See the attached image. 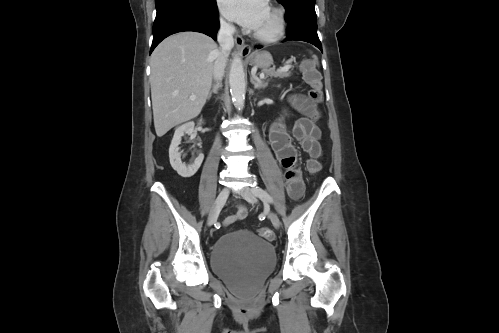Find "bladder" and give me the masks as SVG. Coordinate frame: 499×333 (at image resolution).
I'll use <instances>...</instances> for the list:
<instances>
[{"mask_svg": "<svg viewBox=\"0 0 499 333\" xmlns=\"http://www.w3.org/2000/svg\"><path fill=\"white\" fill-rule=\"evenodd\" d=\"M214 273L234 287L261 282L275 267V249L248 230L223 234L211 250Z\"/></svg>", "mask_w": 499, "mask_h": 333, "instance_id": "bladder-1", "label": "bladder"}]
</instances>
